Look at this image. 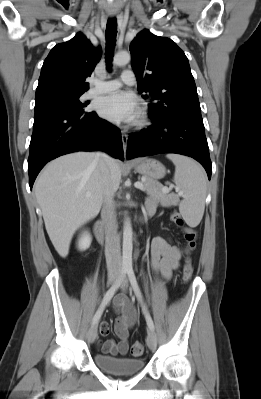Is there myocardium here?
I'll return each mask as SVG.
<instances>
[{
  "mask_svg": "<svg viewBox=\"0 0 261 399\" xmlns=\"http://www.w3.org/2000/svg\"><path fill=\"white\" fill-rule=\"evenodd\" d=\"M144 125H145V121L144 120H141V121L138 122V126L139 127H143Z\"/></svg>",
  "mask_w": 261,
  "mask_h": 399,
  "instance_id": "myocardium-1",
  "label": "myocardium"
}]
</instances>
